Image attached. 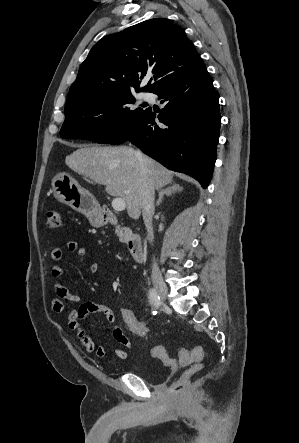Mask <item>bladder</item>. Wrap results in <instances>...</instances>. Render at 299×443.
<instances>
[{
    "label": "bladder",
    "mask_w": 299,
    "mask_h": 443,
    "mask_svg": "<svg viewBox=\"0 0 299 443\" xmlns=\"http://www.w3.org/2000/svg\"><path fill=\"white\" fill-rule=\"evenodd\" d=\"M132 369H133L132 370L133 373L137 374L138 376H140L141 378H143L144 380H146L148 382H155V381L164 377L163 374H155L152 371L140 369V368L136 367L135 365H133Z\"/></svg>",
    "instance_id": "bladder-1"
}]
</instances>
